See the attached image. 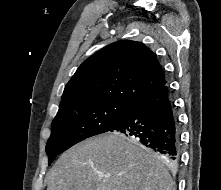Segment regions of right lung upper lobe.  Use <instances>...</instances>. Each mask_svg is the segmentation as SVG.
I'll return each instance as SVG.
<instances>
[{
    "instance_id": "right-lung-upper-lobe-1",
    "label": "right lung upper lobe",
    "mask_w": 221,
    "mask_h": 190,
    "mask_svg": "<svg viewBox=\"0 0 221 190\" xmlns=\"http://www.w3.org/2000/svg\"><path fill=\"white\" fill-rule=\"evenodd\" d=\"M155 54L144 44L121 40L85 60L67 83L59 108L117 100L133 105L166 85Z\"/></svg>"
}]
</instances>
